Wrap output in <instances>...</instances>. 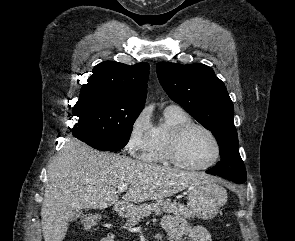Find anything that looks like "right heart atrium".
<instances>
[{
	"mask_svg": "<svg viewBox=\"0 0 295 241\" xmlns=\"http://www.w3.org/2000/svg\"><path fill=\"white\" fill-rule=\"evenodd\" d=\"M152 128L149 110H140L131 120L126 150L132 155L142 154L149 143Z\"/></svg>",
	"mask_w": 295,
	"mask_h": 241,
	"instance_id": "right-heart-atrium-1",
	"label": "right heart atrium"
}]
</instances>
